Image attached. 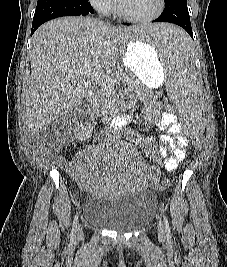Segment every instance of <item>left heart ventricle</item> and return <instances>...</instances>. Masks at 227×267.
<instances>
[{
    "instance_id": "1",
    "label": "left heart ventricle",
    "mask_w": 227,
    "mask_h": 267,
    "mask_svg": "<svg viewBox=\"0 0 227 267\" xmlns=\"http://www.w3.org/2000/svg\"><path fill=\"white\" fill-rule=\"evenodd\" d=\"M120 3L126 13L137 17H146L157 8V0H121Z\"/></svg>"
}]
</instances>
